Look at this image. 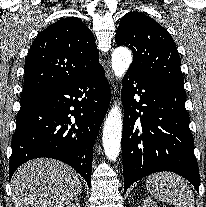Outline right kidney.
<instances>
[{
    "label": "right kidney",
    "instance_id": "1",
    "mask_svg": "<svg viewBox=\"0 0 206 207\" xmlns=\"http://www.w3.org/2000/svg\"><path fill=\"white\" fill-rule=\"evenodd\" d=\"M66 207H80L79 203H72V204H69L67 205Z\"/></svg>",
    "mask_w": 206,
    "mask_h": 207
}]
</instances>
